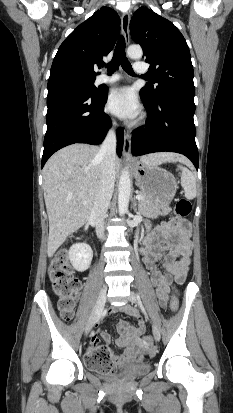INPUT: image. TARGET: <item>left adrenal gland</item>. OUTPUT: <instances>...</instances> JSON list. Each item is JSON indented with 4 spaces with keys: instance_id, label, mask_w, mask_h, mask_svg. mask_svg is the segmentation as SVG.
Returning a JSON list of instances; mask_svg holds the SVG:
<instances>
[{
    "instance_id": "1",
    "label": "left adrenal gland",
    "mask_w": 233,
    "mask_h": 413,
    "mask_svg": "<svg viewBox=\"0 0 233 413\" xmlns=\"http://www.w3.org/2000/svg\"><path fill=\"white\" fill-rule=\"evenodd\" d=\"M132 208L135 212H137V202H136V198H133V204H132Z\"/></svg>"
}]
</instances>
